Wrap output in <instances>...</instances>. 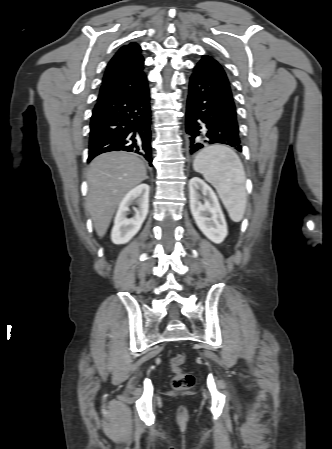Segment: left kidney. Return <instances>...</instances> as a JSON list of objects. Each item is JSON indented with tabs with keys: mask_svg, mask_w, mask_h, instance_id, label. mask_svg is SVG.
I'll list each match as a JSON object with an SVG mask.
<instances>
[{
	"mask_svg": "<svg viewBox=\"0 0 332 449\" xmlns=\"http://www.w3.org/2000/svg\"><path fill=\"white\" fill-rule=\"evenodd\" d=\"M189 192L190 210L198 228L212 242L222 243L228 231L216 194L199 177L190 179ZM201 200H203V203Z\"/></svg>",
	"mask_w": 332,
	"mask_h": 449,
	"instance_id": "left-kidney-1",
	"label": "left kidney"
}]
</instances>
